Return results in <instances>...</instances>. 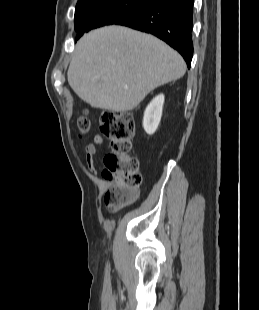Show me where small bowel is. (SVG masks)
Wrapping results in <instances>:
<instances>
[{
  "mask_svg": "<svg viewBox=\"0 0 259 310\" xmlns=\"http://www.w3.org/2000/svg\"><path fill=\"white\" fill-rule=\"evenodd\" d=\"M104 144V140L101 136L94 138V143L88 144L85 147V160L88 170L92 173H96L95 156L97 153V146Z\"/></svg>",
  "mask_w": 259,
  "mask_h": 310,
  "instance_id": "small-bowel-1",
  "label": "small bowel"
}]
</instances>
